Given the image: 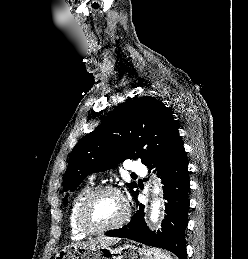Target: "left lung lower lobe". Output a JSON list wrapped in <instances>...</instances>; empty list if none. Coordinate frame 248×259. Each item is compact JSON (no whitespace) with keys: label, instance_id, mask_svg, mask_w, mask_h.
I'll return each mask as SVG.
<instances>
[{"label":"left lung lower lobe","instance_id":"left-lung-lower-lobe-1","mask_svg":"<svg viewBox=\"0 0 248 259\" xmlns=\"http://www.w3.org/2000/svg\"><path fill=\"white\" fill-rule=\"evenodd\" d=\"M156 168L164 184L165 219L161 231H150L144 221V205L136 199L139 209L130 223L120 229L106 233L107 236L128 238L145 245L159 247L174 253L179 259H187L185 229L188 224L189 179L188 162L182 140L162 153L157 160L148 166Z\"/></svg>","mask_w":248,"mask_h":259}]
</instances>
